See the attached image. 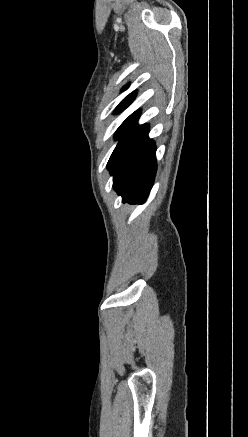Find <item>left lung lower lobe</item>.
<instances>
[{
	"label": "left lung lower lobe",
	"mask_w": 248,
	"mask_h": 437,
	"mask_svg": "<svg viewBox=\"0 0 248 437\" xmlns=\"http://www.w3.org/2000/svg\"><path fill=\"white\" fill-rule=\"evenodd\" d=\"M139 116L140 110L135 111L118 128L119 143L107 164L123 202L143 203L156 173L155 143L148 138V124H137Z\"/></svg>",
	"instance_id": "1"
}]
</instances>
